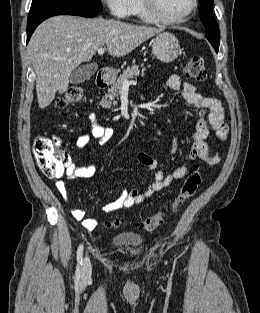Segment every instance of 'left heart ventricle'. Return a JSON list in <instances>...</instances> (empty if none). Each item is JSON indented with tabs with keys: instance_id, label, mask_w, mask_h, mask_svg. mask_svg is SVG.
Masks as SVG:
<instances>
[{
	"instance_id": "1",
	"label": "left heart ventricle",
	"mask_w": 260,
	"mask_h": 313,
	"mask_svg": "<svg viewBox=\"0 0 260 313\" xmlns=\"http://www.w3.org/2000/svg\"><path fill=\"white\" fill-rule=\"evenodd\" d=\"M159 13L166 18H175L191 7L192 0H157Z\"/></svg>"
}]
</instances>
